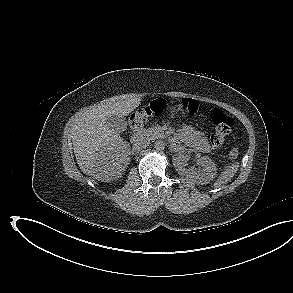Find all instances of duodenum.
<instances>
[{
    "mask_svg": "<svg viewBox=\"0 0 293 293\" xmlns=\"http://www.w3.org/2000/svg\"><path fill=\"white\" fill-rule=\"evenodd\" d=\"M142 141V134L140 131H136L132 137V143L134 146H137Z\"/></svg>",
    "mask_w": 293,
    "mask_h": 293,
    "instance_id": "410a0bca",
    "label": "duodenum"
}]
</instances>
